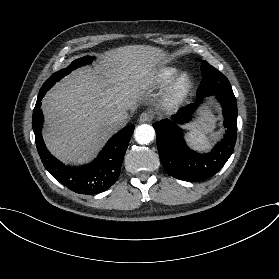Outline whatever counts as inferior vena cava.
<instances>
[{
  "mask_svg": "<svg viewBox=\"0 0 279 279\" xmlns=\"http://www.w3.org/2000/svg\"><path fill=\"white\" fill-rule=\"evenodd\" d=\"M127 119H129V114L123 109L117 113L112 114L108 124L114 128H121L125 125Z\"/></svg>",
  "mask_w": 279,
  "mask_h": 279,
  "instance_id": "inferior-vena-cava-1",
  "label": "inferior vena cava"
}]
</instances>
